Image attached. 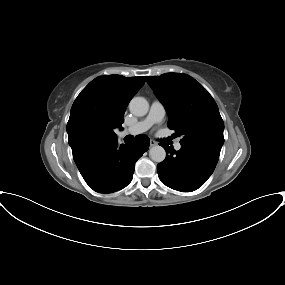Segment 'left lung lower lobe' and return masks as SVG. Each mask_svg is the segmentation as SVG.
Segmentation results:
<instances>
[{
  "label": "left lung lower lobe",
  "mask_w": 285,
  "mask_h": 285,
  "mask_svg": "<svg viewBox=\"0 0 285 285\" xmlns=\"http://www.w3.org/2000/svg\"><path fill=\"white\" fill-rule=\"evenodd\" d=\"M166 158L157 165L160 180L168 187L191 192L201 187L213 173L220 152L181 144L176 151L166 144Z\"/></svg>",
  "instance_id": "obj_1"
}]
</instances>
